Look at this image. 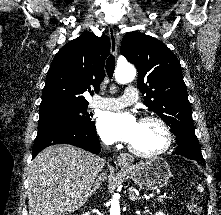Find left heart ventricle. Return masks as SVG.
<instances>
[{
    "instance_id": "obj_1",
    "label": "left heart ventricle",
    "mask_w": 221,
    "mask_h": 215,
    "mask_svg": "<svg viewBox=\"0 0 221 215\" xmlns=\"http://www.w3.org/2000/svg\"><path fill=\"white\" fill-rule=\"evenodd\" d=\"M165 142L161 127L155 122H139L136 135L130 144L141 151H155Z\"/></svg>"
}]
</instances>
